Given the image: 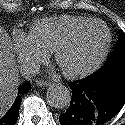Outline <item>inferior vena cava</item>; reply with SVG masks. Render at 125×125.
Returning <instances> with one entry per match:
<instances>
[{
    "label": "inferior vena cava",
    "instance_id": "inferior-vena-cava-1",
    "mask_svg": "<svg viewBox=\"0 0 125 125\" xmlns=\"http://www.w3.org/2000/svg\"><path fill=\"white\" fill-rule=\"evenodd\" d=\"M39 71L38 65H35L33 63H29L27 66L23 69V75L25 78H29L31 76H34Z\"/></svg>",
    "mask_w": 125,
    "mask_h": 125
}]
</instances>
